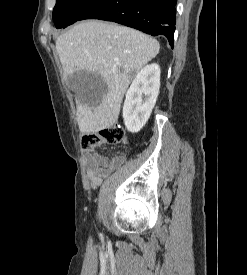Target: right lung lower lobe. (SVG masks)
I'll return each mask as SVG.
<instances>
[{
  "label": "right lung lower lobe",
  "mask_w": 247,
  "mask_h": 275,
  "mask_svg": "<svg viewBox=\"0 0 247 275\" xmlns=\"http://www.w3.org/2000/svg\"><path fill=\"white\" fill-rule=\"evenodd\" d=\"M177 0H98L79 17L123 24L152 36L164 35L173 48Z\"/></svg>",
  "instance_id": "98d812e1"
}]
</instances>
